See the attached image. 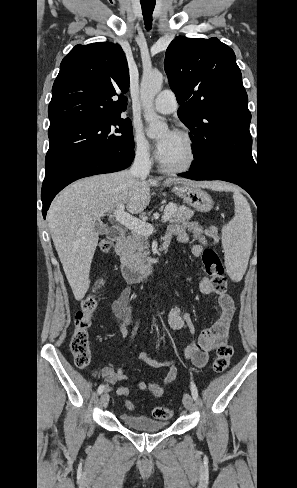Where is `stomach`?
<instances>
[{"label":"stomach","instance_id":"0dacf381","mask_svg":"<svg viewBox=\"0 0 297 488\" xmlns=\"http://www.w3.org/2000/svg\"><path fill=\"white\" fill-rule=\"evenodd\" d=\"M173 192L199 212H209L213 207L211 196L203 189L192 185H177Z\"/></svg>","mask_w":297,"mask_h":488}]
</instances>
